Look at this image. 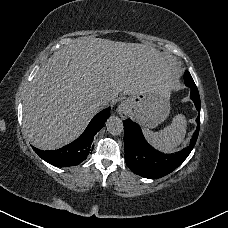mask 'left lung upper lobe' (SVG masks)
<instances>
[{
  "mask_svg": "<svg viewBox=\"0 0 228 228\" xmlns=\"http://www.w3.org/2000/svg\"><path fill=\"white\" fill-rule=\"evenodd\" d=\"M187 74H189V72H188V71H186V72L184 73V75H187Z\"/></svg>",
  "mask_w": 228,
  "mask_h": 228,
  "instance_id": "obj_1",
  "label": "left lung upper lobe"
}]
</instances>
